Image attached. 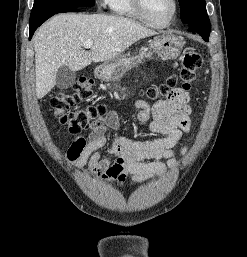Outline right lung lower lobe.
Here are the masks:
<instances>
[{"label": "right lung lower lobe", "instance_id": "obj_1", "mask_svg": "<svg viewBox=\"0 0 247 257\" xmlns=\"http://www.w3.org/2000/svg\"><path fill=\"white\" fill-rule=\"evenodd\" d=\"M78 8H68V9H60V10H53L47 13H44L34 19H30V33H29V40L32 38L35 30L48 18L51 16L60 13V12H79Z\"/></svg>", "mask_w": 247, "mask_h": 257}]
</instances>
